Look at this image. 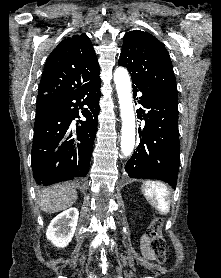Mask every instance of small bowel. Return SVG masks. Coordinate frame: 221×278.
Segmentation results:
<instances>
[{
    "label": "small bowel",
    "mask_w": 221,
    "mask_h": 278,
    "mask_svg": "<svg viewBox=\"0 0 221 278\" xmlns=\"http://www.w3.org/2000/svg\"><path fill=\"white\" fill-rule=\"evenodd\" d=\"M142 250L145 257H147L148 259L154 258L149 250V239L147 238V236H143L142 238Z\"/></svg>",
    "instance_id": "c3829d8e"
}]
</instances>
